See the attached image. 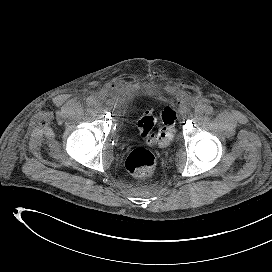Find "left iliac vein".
Segmentation results:
<instances>
[{"label":"left iliac vein","mask_w":272,"mask_h":272,"mask_svg":"<svg viewBox=\"0 0 272 272\" xmlns=\"http://www.w3.org/2000/svg\"><path fill=\"white\" fill-rule=\"evenodd\" d=\"M195 117H194V119H198V118H200L203 114H204V112H205V107L203 106V105H198L197 107H196V110H195Z\"/></svg>","instance_id":"obj_1"}]
</instances>
